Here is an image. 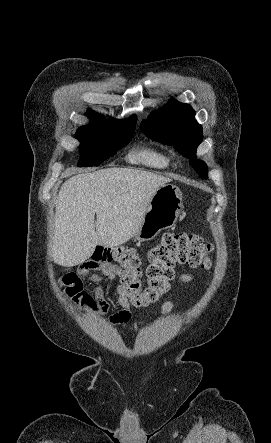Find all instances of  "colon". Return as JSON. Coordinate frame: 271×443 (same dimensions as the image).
<instances>
[{"label":"colon","mask_w":271,"mask_h":443,"mask_svg":"<svg viewBox=\"0 0 271 443\" xmlns=\"http://www.w3.org/2000/svg\"><path fill=\"white\" fill-rule=\"evenodd\" d=\"M211 244L193 234H166L148 252L147 283L140 281L141 260L134 248L128 246H97L92 261L102 264L116 262L120 266L119 293L135 307L156 303L168 291L177 265L209 268Z\"/></svg>","instance_id":"1"}]
</instances>
